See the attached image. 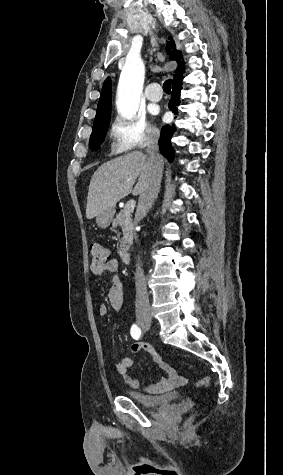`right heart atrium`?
I'll return each instance as SVG.
<instances>
[{"label": "right heart atrium", "mask_w": 283, "mask_h": 475, "mask_svg": "<svg viewBox=\"0 0 283 475\" xmlns=\"http://www.w3.org/2000/svg\"><path fill=\"white\" fill-rule=\"evenodd\" d=\"M159 136V130L142 115L116 116L108 129V152L115 157L142 155L154 148Z\"/></svg>", "instance_id": "obj_1"}]
</instances>
